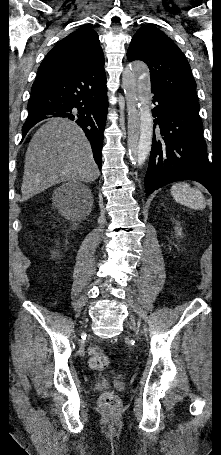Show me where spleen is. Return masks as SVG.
<instances>
[{"mask_svg":"<svg viewBox=\"0 0 221 455\" xmlns=\"http://www.w3.org/2000/svg\"><path fill=\"white\" fill-rule=\"evenodd\" d=\"M170 192L178 203L191 209L203 210L206 207V201L201 191L197 188H192L186 182L175 183Z\"/></svg>","mask_w":221,"mask_h":455,"instance_id":"obj_1","label":"spleen"}]
</instances>
